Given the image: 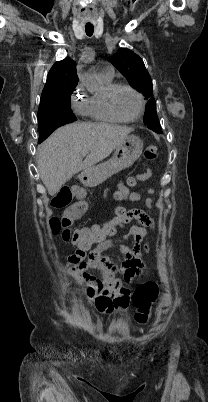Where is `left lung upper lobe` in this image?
Masks as SVG:
<instances>
[{
  "instance_id": "left-lung-upper-lobe-1",
  "label": "left lung upper lobe",
  "mask_w": 208,
  "mask_h": 402,
  "mask_svg": "<svg viewBox=\"0 0 208 402\" xmlns=\"http://www.w3.org/2000/svg\"><path fill=\"white\" fill-rule=\"evenodd\" d=\"M112 64L125 76L131 86L139 89L148 100L145 122L147 127L162 133L156 113V102L153 97L152 80L145 68L143 60L127 48H120L112 59Z\"/></svg>"
}]
</instances>
